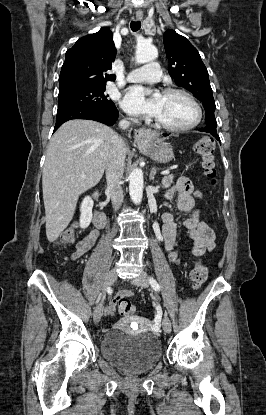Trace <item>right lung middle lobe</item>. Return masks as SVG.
<instances>
[{"label":"right lung middle lobe","instance_id":"right-lung-middle-lobe-1","mask_svg":"<svg viewBox=\"0 0 266 415\" xmlns=\"http://www.w3.org/2000/svg\"><path fill=\"white\" fill-rule=\"evenodd\" d=\"M105 85L82 87L60 92L58 108L68 106L91 107L98 109L115 108L114 103L108 99Z\"/></svg>","mask_w":266,"mask_h":415}]
</instances>
